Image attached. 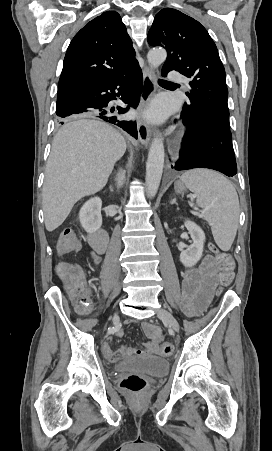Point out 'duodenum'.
Segmentation results:
<instances>
[{"label": "duodenum", "mask_w": 272, "mask_h": 451, "mask_svg": "<svg viewBox=\"0 0 272 451\" xmlns=\"http://www.w3.org/2000/svg\"><path fill=\"white\" fill-rule=\"evenodd\" d=\"M108 233L104 229L92 231L88 235L90 246L99 254L105 252L108 245Z\"/></svg>", "instance_id": "duodenum-1"}]
</instances>
